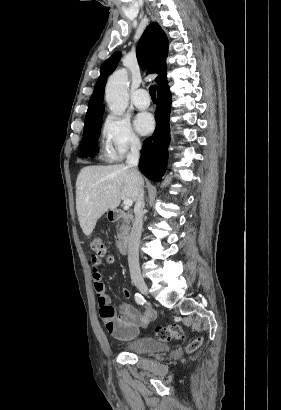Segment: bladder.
Returning <instances> with one entry per match:
<instances>
[{"label": "bladder", "mask_w": 281, "mask_h": 410, "mask_svg": "<svg viewBox=\"0 0 281 410\" xmlns=\"http://www.w3.org/2000/svg\"><path fill=\"white\" fill-rule=\"evenodd\" d=\"M127 352L143 355L159 352H166L168 345L158 339L152 337H140L125 346Z\"/></svg>", "instance_id": "bladder-1"}]
</instances>
